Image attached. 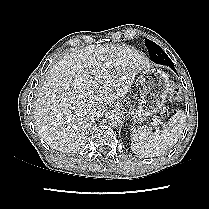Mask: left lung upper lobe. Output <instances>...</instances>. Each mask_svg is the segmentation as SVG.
I'll use <instances>...</instances> for the list:
<instances>
[{"label":"left lung upper lobe","instance_id":"left-lung-upper-lobe-1","mask_svg":"<svg viewBox=\"0 0 209 209\" xmlns=\"http://www.w3.org/2000/svg\"><path fill=\"white\" fill-rule=\"evenodd\" d=\"M145 45L149 50L150 58L153 62L161 65H167L170 68H174V64L167 54L154 42L149 39H145Z\"/></svg>","mask_w":209,"mask_h":209}]
</instances>
